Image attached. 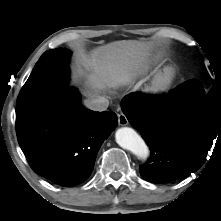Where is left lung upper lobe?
Wrapping results in <instances>:
<instances>
[{"label": "left lung upper lobe", "instance_id": "1", "mask_svg": "<svg viewBox=\"0 0 221 221\" xmlns=\"http://www.w3.org/2000/svg\"><path fill=\"white\" fill-rule=\"evenodd\" d=\"M176 99L180 104L205 106L215 103L220 106L221 104V91H217L214 87L208 93H205L201 84L197 89L187 94L176 95Z\"/></svg>", "mask_w": 221, "mask_h": 221}]
</instances>
